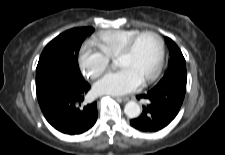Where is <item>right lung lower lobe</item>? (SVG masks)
<instances>
[{"instance_id": "right-lung-lower-lobe-1", "label": "right lung lower lobe", "mask_w": 225, "mask_h": 155, "mask_svg": "<svg viewBox=\"0 0 225 155\" xmlns=\"http://www.w3.org/2000/svg\"><path fill=\"white\" fill-rule=\"evenodd\" d=\"M90 85L80 77H62L37 94L46 120L58 131L81 134L97 120L96 102L81 106Z\"/></svg>"}]
</instances>
